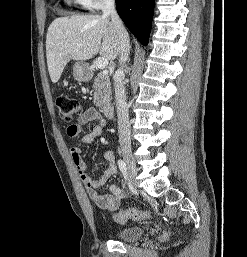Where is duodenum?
Wrapping results in <instances>:
<instances>
[{
    "instance_id": "duodenum-1",
    "label": "duodenum",
    "mask_w": 247,
    "mask_h": 257,
    "mask_svg": "<svg viewBox=\"0 0 247 257\" xmlns=\"http://www.w3.org/2000/svg\"><path fill=\"white\" fill-rule=\"evenodd\" d=\"M103 114L107 118H111L114 114V107L111 103H107L102 108Z\"/></svg>"
}]
</instances>
